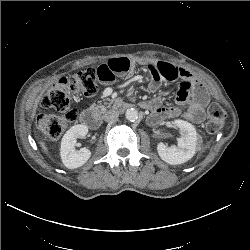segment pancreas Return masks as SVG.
I'll return each mask as SVG.
<instances>
[{"label": "pancreas", "mask_w": 250, "mask_h": 250, "mask_svg": "<svg viewBox=\"0 0 250 250\" xmlns=\"http://www.w3.org/2000/svg\"><path fill=\"white\" fill-rule=\"evenodd\" d=\"M108 101H110L111 103L113 102V100H110V99H108ZM93 107H94L96 110H99L101 113L105 112L106 109H107V106L102 105V104H99V105L93 104Z\"/></svg>", "instance_id": "obj_1"}]
</instances>
